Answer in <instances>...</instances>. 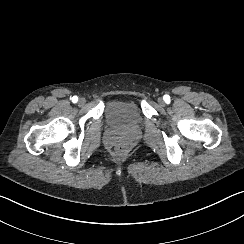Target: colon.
I'll list each match as a JSON object with an SVG mask.
<instances>
[{
	"label": "colon",
	"instance_id": "colon-1",
	"mask_svg": "<svg viewBox=\"0 0 244 244\" xmlns=\"http://www.w3.org/2000/svg\"><path fill=\"white\" fill-rule=\"evenodd\" d=\"M115 151L118 154H124V153H126V151H127L126 144H124V143H118V144H116Z\"/></svg>",
	"mask_w": 244,
	"mask_h": 244
}]
</instances>
